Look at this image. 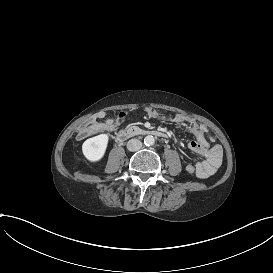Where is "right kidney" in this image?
Segmentation results:
<instances>
[{"label":"right kidney","instance_id":"right-kidney-1","mask_svg":"<svg viewBox=\"0 0 273 273\" xmlns=\"http://www.w3.org/2000/svg\"><path fill=\"white\" fill-rule=\"evenodd\" d=\"M110 136L107 133H101L88 138L82 144V154L90 163L100 162L107 151Z\"/></svg>","mask_w":273,"mask_h":273}]
</instances>
